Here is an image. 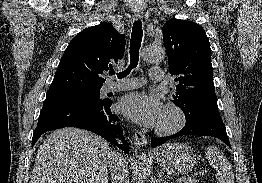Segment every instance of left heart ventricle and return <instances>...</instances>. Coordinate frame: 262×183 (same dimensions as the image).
Instances as JSON below:
<instances>
[{
    "mask_svg": "<svg viewBox=\"0 0 262 183\" xmlns=\"http://www.w3.org/2000/svg\"><path fill=\"white\" fill-rule=\"evenodd\" d=\"M175 122V116L170 111H163L160 123L157 127H169Z\"/></svg>",
    "mask_w": 262,
    "mask_h": 183,
    "instance_id": "left-heart-ventricle-1",
    "label": "left heart ventricle"
}]
</instances>
